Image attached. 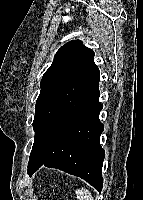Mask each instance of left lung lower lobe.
Segmentation results:
<instances>
[{"label": "left lung lower lobe", "mask_w": 143, "mask_h": 200, "mask_svg": "<svg viewBox=\"0 0 143 200\" xmlns=\"http://www.w3.org/2000/svg\"><path fill=\"white\" fill-rule=\"evenodd\" d=\"M99 81L100 72L92 60L36 115L30 176L44 165L81 177L102 190L105 152L99 143L104 129L99 120L103 108Z\"/></svg>", "instance_id": "obj_1"}]
</instances>
